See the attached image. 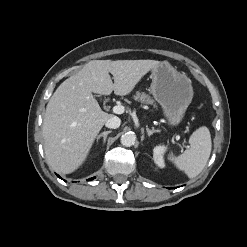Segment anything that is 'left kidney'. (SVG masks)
<instances>
[{"instance_id":"left-kidney-1","label":"left kidney","mask_w":247,"mask_h":247,"mask_svg":"<svg viewBox=\"0 0 247 247\" xmlns=\"http://www.w3.org/2000/svg\"><path fill=\"white\" fill-rule=\"evenodd\" d=\"M166 149H167V147L164 145H158V146L154 147V149H153V160H154L155 164H157V166H159L160 168L165 167L163 155H164Z\"/></svg>"}]
</instances>
